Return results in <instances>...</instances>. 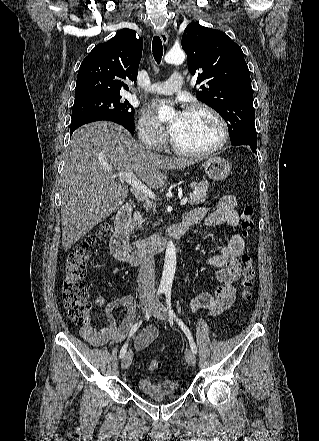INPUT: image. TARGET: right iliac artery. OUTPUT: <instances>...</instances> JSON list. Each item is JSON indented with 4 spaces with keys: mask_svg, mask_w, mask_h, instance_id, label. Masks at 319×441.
Wrapping results in <instances>:
<instances>
[{
    "mask_svg": "<svg viewBox=\"0 0 319 441\" xmlns=\"http://www.w3.org/2000/svg\"><path fill=\"white\" fill-rule=\"evenodd\" d=\"M161 293H162V290H158L157 295H156V300L158 299V296H159ZM145 317H146V318L149 317V312H148V311L146 312ZM141 323H142V320H140L139 322L135 323V324L132 326V328H131V330H130V337H131V336L137 331V329L139 328V326L141 325ZM127 346H128V343H125V344L123 345V347L121 348V350H120V354H119V357H120V358H123V357H124V355H125V353H126V350H127Z\"/></svg>",
    "mask_w": 319,
    "mask_h": 441,
    "instance_id": "82829eb1",
    "label": "right iliac artery"
}]
</instances>
